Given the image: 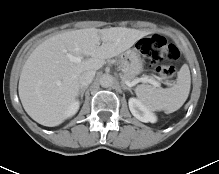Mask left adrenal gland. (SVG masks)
<instances>
[{"instance_id":"a2214340","label":"left adrenal gland","mask_w":219,"mask_h":174,"mask_svg":"<svg viewBox=\"0 0 219 174\" xmlns=\"http://www.w3.org/2000/svg\"><path fill=\"white\" fill-rule=\"evenodd\" d=\"M122 86H123L124 90H128V91H130L132 93L131 88L127 87L124 82H122Z\"/></svg>"}]
</instances>
